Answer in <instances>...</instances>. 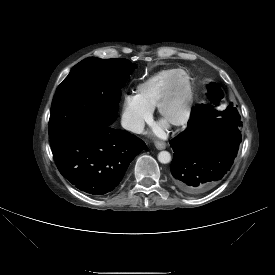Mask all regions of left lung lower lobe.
<instances>
[{
	"label": "left lung lower lobe",
	"instance_id": "0a47b994",
	"mask_svg": "<svg viewBox=\"0 0 275 275\" xmlns=\"http://www.w3.org/2000/svg\"><path fill=\"white\" fill-rule=\"evenodd\" d=\"M242 140L241 129L217 121L194 122L170 141L171 180L183 193L215 187L230 170Z\"/></svg>",
	"mask_w": 275,
	"mask_h": 275
}]
</instances>
